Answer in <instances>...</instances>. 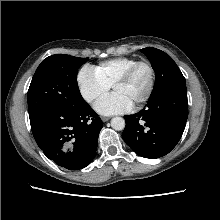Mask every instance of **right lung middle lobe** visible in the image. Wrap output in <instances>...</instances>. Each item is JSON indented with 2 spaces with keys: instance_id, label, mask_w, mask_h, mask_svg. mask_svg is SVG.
<instances>
[{
  "instance_id": "dd1d6c3e",
  "label": "right lung middle lobe",
  "mask_w": 220,
  "mask_h": 220,
  "mask_svg": "<svg viewBox=\"0 0 220 220\" xmlns=\"http://www.w3.org/2000/svg\"><path fill=\"white\" fill-rule=\"evenodd\" d=\"M88 60L66 54L44 59L28 90L29 116L54 107L77 110L86 106L78 88L77 70Z\"/></svg>"
}]
</instances>
